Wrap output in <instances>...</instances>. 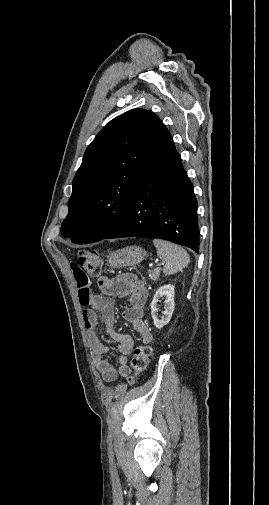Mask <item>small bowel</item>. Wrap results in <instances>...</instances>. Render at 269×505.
I'll use <instances>...</instances> for the list:
<instances>
[{
  "instance_id": "small-bowel-1",
  "label": "small bowel",
  "mask_w": 269,
  "mask_h": 505,
  "mask_svg": "<svg viewBox=\"0 0 269 505\" xmlns=\"http://www.w3.org/2000/svg\"><path fill=\"white\" fill-rule=\"evenodd\" d=\"M70 267L71 272L75 274L74 280L78 287L79 301L81 305L86 307L82 316L95 366L104 381L114 382L119 375L126 376L130 372L128 358L134 348L133 338L128 334L119 333L115 329L114 297L127 298L129 306L124 310L123 318L141 336L142 342L148 344L152 341L153 335L144 321V304L148 296L147 287L143 282L138 281L133 274L101 278V273L99 280H97L98 287L103 294L93 295L89 285L94 280L90 278V274L86 273L85 268H80L77 260H72ZM97 312L101 313V321L105 325L107 333L117 343L120 353L117 367L110 364L104 357L108 353L109 347L102 343L97 335Z\"/></svg>"
}]
</instances>
